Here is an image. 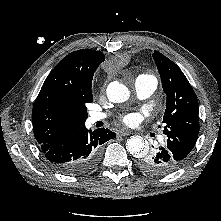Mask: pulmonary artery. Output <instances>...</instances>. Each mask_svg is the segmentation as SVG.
<instances>
[{
    "mask_svg": "<svg viewBox=\"0 0 221 221\" xmlns=\"http://www.w3.org/2000/svg\"><path fill=\"white\" fill-rule=\"evenodd\" d=\"M135 93L139 99H146L150 97L157 88V81L154 77L148 75H140L135 80ZM107 114L102 112H92L89 115L88 121L94 124L106 118Z\"/></svg>",
    "mask_w": 221,
    "mask_h": 221,
    "instance_id": "e3ab8cb5",
    "label": "pulmonary artery"
}]
</instances>
